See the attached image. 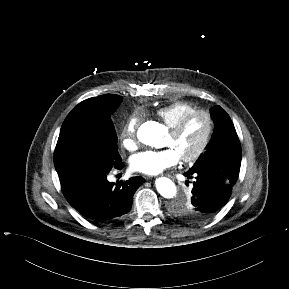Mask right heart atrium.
<instances>
[{"label":"right heart atrium","mask_w":289,"mask_h":289,"mask_svg":"<svg viewBox=\"0 0 289 289\" xmlns=\"http://www.w3.org/2000/svg\"><path fill=\"white\" fill-rule=\"evenodd\" d=\"M140 118L137 115H131L126 123L124 124L121 132V143L122 146L129 150L133 151L137 148L136 142V130L139 126Z\"/></svg>","instance_id":"obj_1"}]
</instances>
